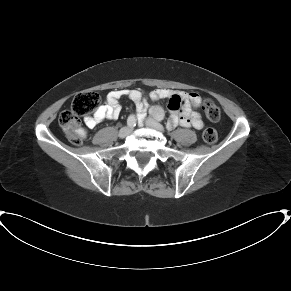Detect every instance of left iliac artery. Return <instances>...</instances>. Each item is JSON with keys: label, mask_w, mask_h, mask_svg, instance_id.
Returning <instances> with one entry per match:
<instances>
[{"label": "left iliac artery", "mask_w": 291, "mask_h": 291, "mask_svg": "<svg viewBox=\"0 0 291 291\" xmlns=\"http://www.w3.org/2000/svg\"><path fill=\"white\" fill-rule=\"evenodd\" d=\"M161 119H162V118H161L160 115H157V116H156V120L160 121Z\"/></svg>", "instance_id": "obj_1"}]
</instances>
